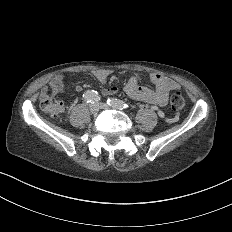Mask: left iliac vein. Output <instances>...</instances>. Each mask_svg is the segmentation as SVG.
Listing matches in <instances>:
<instances>
[{
    "instance_id": "4c4485c4",
    "label": "left iliac vein",
    "mask_w": 232,
    "mask_h": 232,
    "mask_svg": "<svg viewBox=\"0 0 232 232\" xmlns=\"http://www.w3.org/2000/svg\"><path fill=\"white\" fill-rule=\"evenodd\" d=\"M97 107H99L100 109H107L108 108V105L107 104H100V103H97Z\"/></svg>"
}]
</instances>
